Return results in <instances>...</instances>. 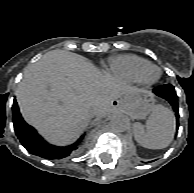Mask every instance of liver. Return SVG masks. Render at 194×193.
<instances>
[{
  "instance_id": "obj_1",
  "label": "liver",
  "mask_w": 194,
  "mask_h": 193,
  "mask_svg": "<svg viewBox=\"0 0 194 193\" xmlns=\"http://www.w3.org/2000/svg\"><path fill=\"white\" fill-rule=\"evenodd\" d=\"M139 92L78 54L52 50L26 68L16 97L29 125L50 143L66 145L94 116L120 110L115 101Z\"/></svg>"
}]
</instances>
